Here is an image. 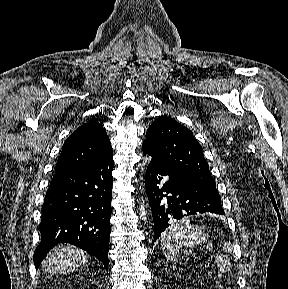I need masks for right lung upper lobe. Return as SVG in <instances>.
<instances>
[{
	"mask_svg": "<svg viewBox=\"0 0 288 289\" xmlns=\"http://www.w3.org/2000/svg\"><path fill=\"white\" fill-rule=\"evenodd\" d=\"M112 155L105 129L97 121L91 120L66 139L55 172L90 167Z\"/></svg>",
	"mask_w": 288,
	"mask_h": 289,
	"instance_id": "right-lung-upper-lobe-1",
	"label": "right lung upper lobe"
}]
</instances>
